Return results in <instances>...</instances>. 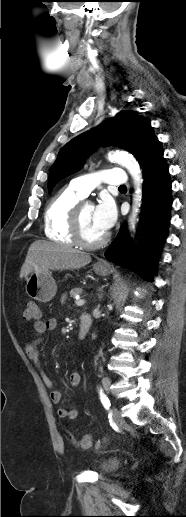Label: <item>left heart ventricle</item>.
I'll return each mask as SVG.
<instances>
[{
    "label": "left heart ventricle",
    "mask_w": 186,
    "mask_h": 517,
    "mask_svg": "<svg viewBox=\"0 0 186 517\" xmlns=\"http://www.w3.org/2000/svg\"><path fill=\"white\" fill-rule=\"evenodd\" d=\"M94 207L90 204H85L81 210V225L84 237L89 241H94L101 238L103 232L94 221Z\"/></svg>",
    "instance_id": "1"
}]
</instances>
